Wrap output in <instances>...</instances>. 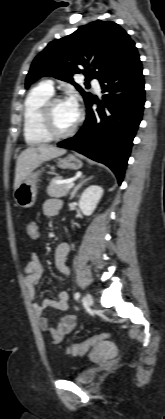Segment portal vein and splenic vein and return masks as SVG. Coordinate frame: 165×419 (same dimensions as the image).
<instances>
[{
  "label": "portal vein and splenic vein",
  "mask_w": 165,
  "mask_h": 419,
  "mask_svg": "<svg viewBox=\"0 0 165 419\" xmlns=\"http://www.w3.org/2000/svg\"><path fill=\"white\" fill-rule=\"evenodd\" d=\"M74 187V182H68L67 184H66V188H68V189H71V188H73Z\"/></svg>",
  "instance_id": "18ae733b"
}]
</instances>
